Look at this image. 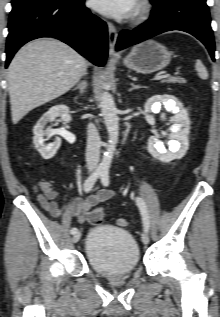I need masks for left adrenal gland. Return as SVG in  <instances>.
Masks as SVG:
<instances>
[{
  "instance_id": "1",
  "label": "left adrenal gland",
  "mask_w": 220,
  "mask_h": 317,
  "mask_svg": "<svg viewBox=\"0 0 220 317\" xmlns=\"http://www.w3.org/2000/svg\"><path fill=\"white\" fill-rule=\"evenodd\" d=\"M130 85L132 86V88L130 89V91L133 90V89L141 88V86L135 85L134 83H130Z\"/></svg>"
}]
</instances>
